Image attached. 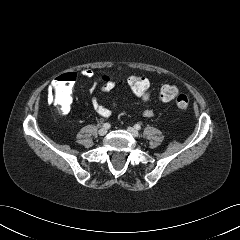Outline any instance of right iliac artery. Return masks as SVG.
Here are the masks:
<instances>
[{
    "mask_svg": "<svg viewBox=\"0 0 240 240\" xmlns=\"http://www.w3.org/2000/svg\"><path fill=\"white\" fill-rule=\"evenodd\" d=\"M103 127L108 129V128H110V124L109 123H104Z\"/></svg>",
    "mask_w": 240,
    "mask_h": 240,
    "instance_id": "1",
    "label": "right iliac artery"
}]
</instances>
